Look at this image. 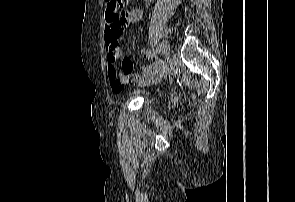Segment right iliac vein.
<instances>
[{
  "mask_svg": "<svg viewBox=\"0 0 295 202\" xmlns=\"http://www.w3.org/2000/svg\"><path fill=\"white\" fill-rule=\"evenodd\" d=\"M161 51H162V54H163V56L165 58H167L169 56V54H170V46H169V43L166 40L162 41Z\"/></svg>",
  "mask_w": 295,
  "mask_h": 202,
  "instance_id": "1",
  "label": "right iliac vein"
}]
</instances>
